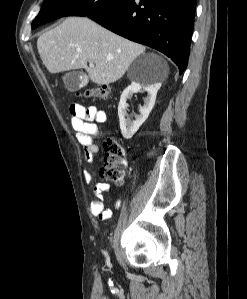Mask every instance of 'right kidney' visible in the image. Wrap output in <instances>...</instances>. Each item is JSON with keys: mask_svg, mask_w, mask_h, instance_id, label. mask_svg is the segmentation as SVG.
<instances>
[{"mask_svg": "<svg viewBox=\"0 0 247 299\" xmlns=\"http://www.w3.org/2000/svg\"><path fill=\"white\" fill-rule=\"evenodd\" d=\"M160 84H150V85H141L137 82H132L122 93L120 102L118 105V116L120 121V129L122 136L125 139H131L133 135L138 131L140 126L148 118L156 100L157 92L160 88ZM141 89L147 91L148 96L144 100V106H140L139 112L140 115H137L135 121L126 119V108L127 99H130L134 93L139 92Z\"/></svg>", "mask_w": 247, "mask_h": 299, "instance_id": "ca27d5eb", "label": "right kidney"}]
</instances>
